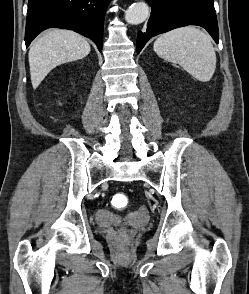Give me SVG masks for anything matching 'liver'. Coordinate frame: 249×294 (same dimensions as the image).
Here are the masks:
<instances>
[{"label": "liver", "instance_id": "6515ba94", "mask_svg": "<svg viewBox=\"0 0 249 294\" xmlns=\"http://www.w3.org/2000/svg\"><path fill=\"white\" fill-rule=\"evenodd\" d=\"M89 43L78 33L53 29L37 38L29 50L31 83L36 89L55 67L86 57Z\"/></svg>", "mask_w": 249, "mask_h": 294}]
</instances>
